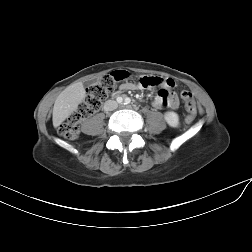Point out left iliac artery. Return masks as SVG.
I'll return each mask as SVG.
<instances>
[{"instance_id":"1","label":"left iliac artery","mask_w":252,"mask_h":252,"mask_svg":"<svg viewBox=\"0 0 252 252\" xmlns=\"http://www.w3.org/2000/svg\"><path fill=\"white\" fill-rule=\"evenodd\" d=\"M131 99L129 97H126L124 100V104H130Z\"/></svg>"}]
</instances>
